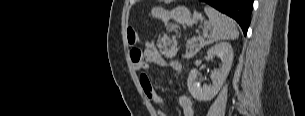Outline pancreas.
Returning a JSON list of instances; mask_svg holds the SVG:
<instances>
[{"label":"pancreas","mask_w":305,"mask_h":116,"mask_svg":"<svg viewBox=\"0 0 305 116\" xmlns=\"http://www.w3.org/2000/svg\"><path fill=\"white\" fill-rule=\"evenodd\" d=\"M202 46V43L197 44L194 41L189 42L186 46L185 58L189 59L195 56Z\"/></svg>","instance_id":"pancreas-1"}]
</instances>
